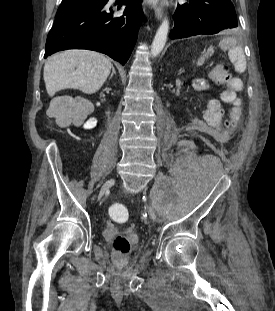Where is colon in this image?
<instances>
[{"mask_svg":"<svg viewBox=\"0 0 275 311\" xmlns=\"http://www.w3.org/2000/svg\"><path fill=\"white\" fill-rule=\"evenodd\" d=\"M236 67L239 70L244 68V59L243 57H238L237 62H234ZM228 73V71H227ZM242 86L241 80L238 78L232 79L229 83H227L225 89L221 94V99L223 102L231 103L236 99V93L240 90ZM49 116L56 120L61 125H68L73 122L80 123L82 119L74 116L69 108L66 107L65 103H55L51 105L48 109ZM109 213L115 219H127L128 211L119 204H113L109 207ZM112 247L115 252H117L121 256H125L130 252L131 245L129 240L123 235H117L113 240Z\"/></svg>","mask_w":275,"mask_h":311,"instance_id":"5ec220e1","label":"colon"}]
</instances>
